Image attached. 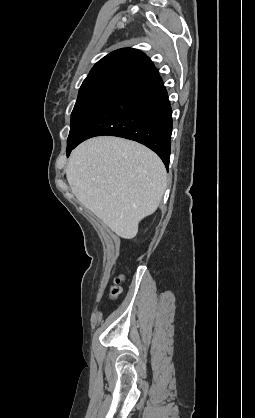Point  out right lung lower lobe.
<instances>
[{
    "instance_id": "1",
    "label": "right lung lower lobe",
    "mask_w": 255,
    "mask_h": 418,
    "mask_svg": "<svg viewBox=\"0 0 255 418\" xmlns=\"http://www.w3.org/2000/svg\"><path fill=\"white\" fill-rule=\"evenodd\" d=\"M172 109L161 77L156 74L125 87L90 120L67 155L82 141L111 135L137 141L156 152L169 165Z\"/></svg>"
}]
</instances>
